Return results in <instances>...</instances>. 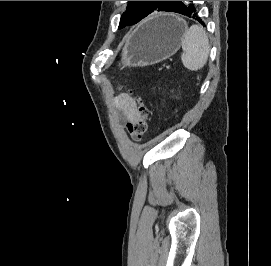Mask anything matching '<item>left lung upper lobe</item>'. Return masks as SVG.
Listing matches in <instances>:
<instances>
[{"label":"left lung upper lobe","instance_id":"5c2ea615","mask_svg":"<svg viewBox=\"0 0 271 266\" xmlns=\"http://www.w3.org/2000/svg\"><path fill=\"white\" fill-rule=\"evenodd\" d=\"M177 1H129L120 19L119 28L138 23L155 11H169Z\"/></svg>","mask_w":271,"mask_h":266}]
</instances>
